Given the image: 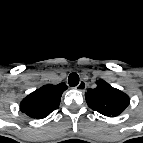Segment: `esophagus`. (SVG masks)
Wrapping results in <instances>:
<instances>
[{
	"mask_svg": "<svg viewBox=\"0 0 143 143\" xmlns=\"http://www.w3.org/2000/svg\"><path fill=\"white\" fill-rule=\"evenodd\" d=\"M86 86H87L86 82L84 80H81L76 88L79 91H84L86 89Z\"/></svg>",
	"mask_w": 143,
	"mask_h": 143,
	"instance_id": "obj_1",
	"label": "esophagus"
}]
</instances>
